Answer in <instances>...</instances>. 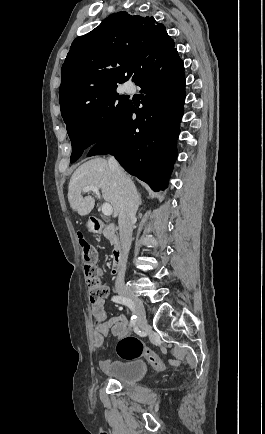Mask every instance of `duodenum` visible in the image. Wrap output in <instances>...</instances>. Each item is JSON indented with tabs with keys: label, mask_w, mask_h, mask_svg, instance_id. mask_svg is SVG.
<instances>
[{
	"label": "duodenum",
	"mask_w": 265,
	"mask_h": 434,
	"mask_svg": "<svg viewBox=\"0 0 265 434\" xmlns=\"http://www.w3.org/2000/svg\"><path fill=\"white\" fill-rule=\"evenodd\" d=\"M89 230L105 234L109 239L113 240L116 234V226L113 224H104L92 218L88 220ZM123 250L116 246L113 252V260L111 263V272L117 274L122 267Z\"/></svg>",
	"instance_id": "obj_1"
}]
</instances>
